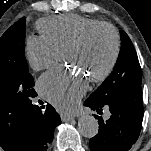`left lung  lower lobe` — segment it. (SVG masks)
<instances>
[{
  "instance_id": "obj_1",
  "label": "left lung lower lobe",
  "mask_w": 151,
  "mask_h": 151,
  "mask_svg": "<svg viewBox=\"0 0 151 151\" xmlns=\"http://www.w3.org/2000/svg\"><path fill=\"white\" fill-rule=\"evenodd\" d=\"M85 106L102 113V107L86 99ZM111 116L107 121L95 115L99 133L90 139L91 151H128L136 142L142 127L143 102L141 84L127 87L118 99L106 105Z\"/></svg>"
}]
</instances>
